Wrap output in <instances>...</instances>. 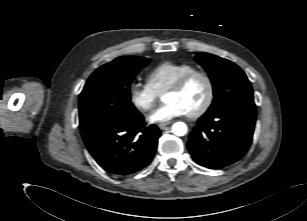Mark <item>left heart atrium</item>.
I'll list each match as a JSON object with an SVG mask.
<instances>
[{
    "instance_id": "obj_1",
    "label": "left heart atrium",
    "mask_w": 307,
    "mask_h": 221,
    "mask_svg": "<svg viewBox=\"0 0 307 221\" xmlns=\"http://www.w3.org/2000/svg\"><path fill=\"white\" fill-rule=\"evenodd\" d=\"M185 109L177 102H167L148 116L150 123H165L173 118L186 115Z\"/></svg>"
}]
</instances>
